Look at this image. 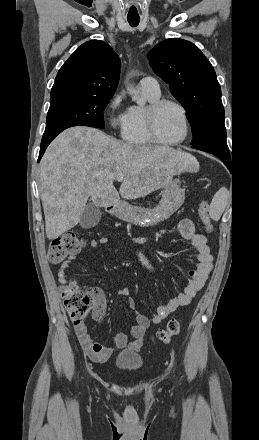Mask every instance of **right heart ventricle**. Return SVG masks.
I'll return each mask as SVG.
<instances>
[{"label":"right heart ventricle","mask_w":259,"mask_h":440,"mask_svg":"<svg viewBox=\"0 0 259 440\" xmlns=\"http://www.w3.org/2000/svg\"><path fill=\"white\" fill-rule=\"evenodd\" d=\"M144 95L150 104L160 98V95L153 96L147 93ZM146 109L147 107L131 106L127 110V123L122 131V138L131 145L149 146L153 144L146 127Z\"/></svg>","instance_id":"e07e8e85"}]
</instances>
